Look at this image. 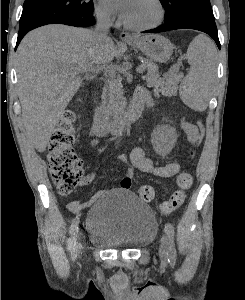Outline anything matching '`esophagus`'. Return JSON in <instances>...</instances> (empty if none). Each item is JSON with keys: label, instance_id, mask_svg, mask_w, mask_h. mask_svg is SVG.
Here are the masks:
<instances>
[{"label": "esophagus", "instance_id": "1", "mask_svg": "<svg viewBox=\"0 0 245 300\" xmlns=\"http://www.w3.org/2000/svg\"><path fill=\"white\" fill-rule=\"evenodd\" d=\"M120 39L124 42H130L133 41L135 38L128 32H121Z\"/></svg>", "mask_w": 245, "mask_h": 300}]
</instances>
